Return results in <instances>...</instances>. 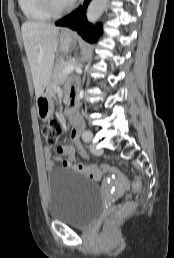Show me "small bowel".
<instances>
[{
    "label": "small bowel",
    "instance_id": "small-bowel-1",
    "mask_svg": "<svg viewBox=\"0 0 174 258\" xmlns=\"http://www.w3.org/2000/svg\"><path fill=\"white\" fill-rule=\"evenodd\" d=\"M70 94H74V91L71 90ZM71 125L72 130L70 136L76 143L78 153L83 158L84 162L81 164L75 163V149L72 145L65 144L59 146L57 148L59 155H54L51 147L46 146L43 153L47 171H52L54 169L56 161H61L64 167L83 172L86 179H101L102 176H106L108 174L107 172H113L116 179L120 180L121 187L128 188L129 179H123V174H120L119 171H114V167H89L90 158L88 157L84 147L78 142L79 133L83 128L82 120L79 115H74L71 118Z\"/></svg>",
    "mask_w": 174,
    "mask_h": 258
}]
</instances>
